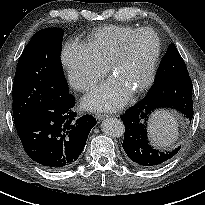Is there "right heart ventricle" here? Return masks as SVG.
<instances>
[{"label": "right heart ventricle", "instance_id": "obj_1", "mask_svg": "<svg viewBox=\"0 0 205 205\" xmlns=\"http://www.w3.org/2000/svg\"><path fill=\"white\" fill-rule=\"evenodd\" d=\"M137 29L121 25L105 26L91 34L87 46L99 62L108 66L124 39Z\"/></svg>", "mask_w": 205, "mask_h": 205}]
</instances>
